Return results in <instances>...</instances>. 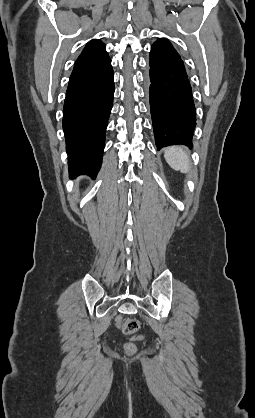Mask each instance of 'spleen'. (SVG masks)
<instances>
[{
    "mask_svg": "<svg viewBox=\"0 0 255 418\" xmlns=\"http://www.w3.org/2000/svg\"><path fill=\"white\" fill-rule=\"evenodd\" d=\"M164 157L174 170L181 171L182 173H188L190 171V158L184 147H168L165 149Z\"/></svg>",
    "mask_w": 255,
    "mask_h": 418,
    "instance_id": "1",
    "label": "spleen"
}]
</instances>
